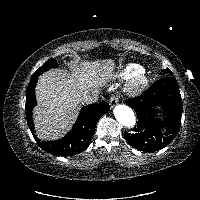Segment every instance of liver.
<instances>
[{"mask_svg": "<svg viewBox=\"0 0 200 200\" xmlns=\"http://www.w3.org/2000/svg\"><path fill=\"white\" fill-rule=\"evenodd\" d=\"M114 66L112 60L77 61L72 74L51 69L41 75L36 87L38 105L33 113L38 137L41 140L62 137L77 116L83 93L97 90L110 80Z\"/></svg>", "mask_w": 200, "mask_h": 200, "instance_id": "6515ba94", "label": "liver"}]
</instances>
